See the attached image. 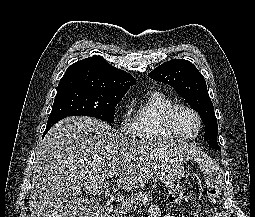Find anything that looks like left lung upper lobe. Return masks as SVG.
Here are the masks:
<instances>
[{"label":"left lung upper lobe","mask_w":255,"mask_h":217,"mask_svg":"<svg viewBox=\"0 0 255 217\" xmlns=\"http://www.w3.org/2000/svg\"><path fill=\"white\" fill-rule=\"evenodd\" d=\"M149 76L172 86L200 115L205 125L204 140L215 150L217 143V120L209 97L206 81L199 70L188 60L173 59L155 68Z\"/></svg>","instance_id":"1"}]
</instances>
